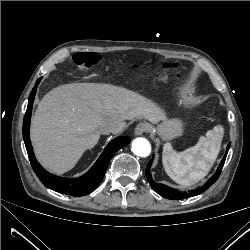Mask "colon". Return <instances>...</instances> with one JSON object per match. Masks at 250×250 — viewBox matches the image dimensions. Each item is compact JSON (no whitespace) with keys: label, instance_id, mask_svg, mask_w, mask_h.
Returning a JSON list of instances; mask_svg holds the SVG:
<instances>
[{"label":"colon","instance_id":"5ec220e1","mask_svg":"<svg viewBox=\"0 0 250 250\" xmlns=\"http://www.w3.org/2000/svg\"><path fill=\"white\" fill-rule=\"evenodd\" d=\"M100 62V57L96 53H78L73 56L72 63L79 71H89ZM166 77L163 75L159 76V79L163 80Z\"/></svg>","mask_w":250,"mask_h":250}]
</instances>
